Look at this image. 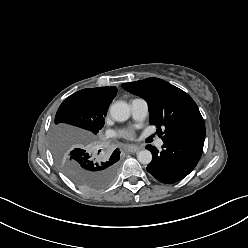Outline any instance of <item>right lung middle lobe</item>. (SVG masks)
I'll list each match as a JSON object with an SVG mask.
<instances>
[{
  "mask_svg": "<svg viewBox=\"0 0 248 248\" xmlns=\"http://www.w3.org/2000/svg\"><path fill=\"white\" fill-rule=\"evenodd\" d=\"M106 113V109L94 106L80 90L60 105L55 124L67 123L82 128L93 137L103 128ZM54 154L63 172L86 191L107 187L114 180L119 167L120 158L113 153L110 157H99V153H92L90 149L76 148L69 152V149L55 144Z\"/></svg>",
  "mask_w": 248,
  "mask_h": 248,
  "instance_id": "right-lung-middle-lobe-1",
  "label": "right lung middle lobe"
}]
</instances>
